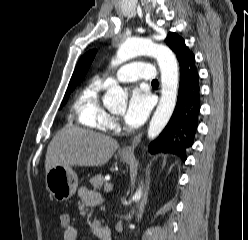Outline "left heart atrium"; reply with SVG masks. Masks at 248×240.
Returning a JSON list of instances; mask_svg holds the SVG:
<instances>
[{"instance_id": "39dd6f15", "label": "left heart atrium", "mask_w": 248, "mask_h": 240, "mask_svg": "<svg viewBox=\"0 0 248 240\" xmlns=\"http://www.w3.org/2000/svg\"><path fill=\"white\" fill-rule=\"evenodd\" d=\"M152 108V99L148 91L142 87H135L128 101L124 114V121L131 127L140 126L148 117Z\"/></svg>"}]
</instances>
